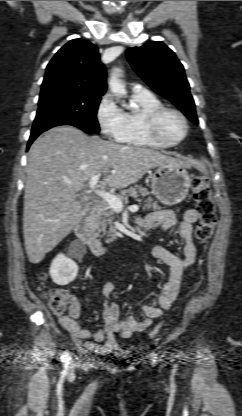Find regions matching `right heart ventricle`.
<instances>
[{
  "mask_svg": "<svg viewBox=\"0 0 242 416\" xmlns=\"http://www.w3.org/2000/svg\"><path fill=\"white\" fill-rule=\"evenodd\" d=\"M132 102L136 105L134 110L125 113L126 127L120 142L135 146L164 148L169 145L153 139L146 129L147 114L155 108L163 106L161 100L149 91L133 92Z\"/></svg>",
  "mask_w": 242,
  "mask_h": 416,
  "instance_id": "obj_1",
  "label": "right heart ventricle"
}]
</instances>
